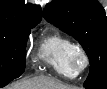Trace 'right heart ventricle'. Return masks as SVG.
Listing matches in <instances>:
<instances>
[{
  "label": "right heart ventricle",
  "instance_id": "e07e8e85",
  "mask_svg": "<svg viewBox=\"0 0 107 89\" xmlns=\"http://www.w3.org/2000/svg\"><path fill=\"white\" fill-rule=\"evenodd\" d=\"M76 45L59 33L47 35L40 46L38 57L56 73L66 78L76 75L69 66V54Z\"/></svg>",
  "mask_w": 107,
  "mask_h": 89
}]
</instances>
